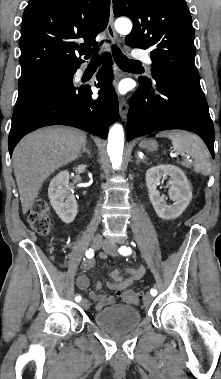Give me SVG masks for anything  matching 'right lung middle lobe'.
<instances>
[{"instance_id":"right-lung-middle-lobe-1","label":"right lung middle lobe","mask_w":221,"mask_h":379,"mask_svg":"<svg viewBox=\"0 0 221 379\" xmlns=\"http://www.w3.org/2000/svg\"><path fill=\"white\" fill-rule=\"evenodd\" d=\"M72 72V69H55L47 71L36 76H33L27 80L19 82V94L15 104L14 112L22 108L29 100L31 94L42 85L52 81L57 77H66Z\"/></svg>"}]
</instances>
